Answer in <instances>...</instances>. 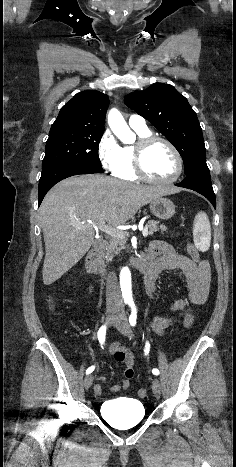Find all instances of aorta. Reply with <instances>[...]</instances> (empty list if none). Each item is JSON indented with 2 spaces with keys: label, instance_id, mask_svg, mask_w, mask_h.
I'll list each match as a JSON object with an SVG mask.
<instances>
[{
  "label": "aorta",
  "instance_id": "aorta-1",
  "mask_svg": "<svg viewBox=\"0 0 236 467\" xmlns=\"http://www.w3.org/2000/svg\"><path fill=\"white\" fill-rule=\"evenodd\" d=\"M108 125L112 132L123 142L129 144L133 133L127 125L119 110L113 108L107 117ZM120 287L125 301L132 300L131 272L128 267H123L120 272Z\"/></svg>",
  "mask_w": 236,
  "mask_h": 467
}]
</instances>
